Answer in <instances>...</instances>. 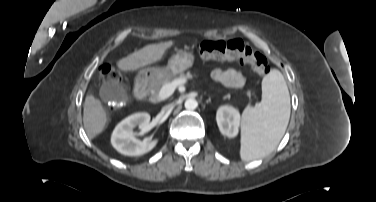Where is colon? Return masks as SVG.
Returning <instances> with one entry per match:
<instances>
[{"mask_svg": "<svg viewBox=\"0 0 376 202\" xmlns=\"http://www.w3.org/2000/svg\"><path fill=\"white\" fill-rule=\"evenodd\" d=\"M196 53L205 60L227 59L240 60L249 64L255 73L264 76L270 72L266 57L244 44L241 39L229 41L205 40L195 44ZM101 77L114 82H121L120 72L111 65H103Z\"/></svg>", "mask_w": 376, "mask_h": 202, "instance_id": "1", "label": "colon"}]
</instances>
